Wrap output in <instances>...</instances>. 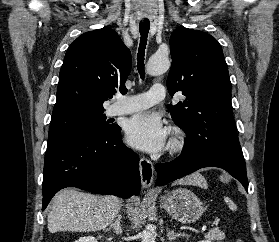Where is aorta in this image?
<instances>
[{
    "label": "aorta",
    "instance_id": "1",
    "mask_svg": "<svg viewBox=\"0 0 279 242\" xmlns=\"http://www.w3.org/2000/svg\"><path fill=\"white\" fill-rule=\"evenodd\" d=\"M170 67L167 56L161 54L152 55L147 62V73L149 75H159L165 73ZM156 231L151 225H147L142 234V242H155Z\"/></svg>",
    "mask_w": 279,
    "mask_h": 242
}]
</instances>
